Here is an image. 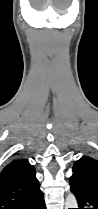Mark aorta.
Here are the masks:
<instances>
[{
    "mask_svg": "<svg viewBox=\"0 0 98 209\" xmlns=\"http://www.w3.org/2000/svg\"><path fill=\"white\" fill-rule=\"evenodd\" d=\"M78 204H77V200L75 198V196L71 193L68 194V196L66 197V202H65V209L67 208H77Z\"/></svg>",
    "mask_w": 98,
    "mask_h": 209,
    "instance_id": "aorta-1",
    "label": "aorta"
}]
</instances>
